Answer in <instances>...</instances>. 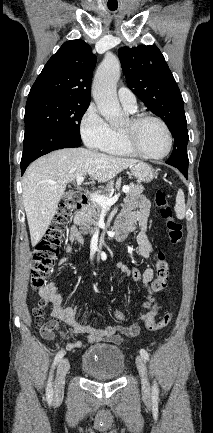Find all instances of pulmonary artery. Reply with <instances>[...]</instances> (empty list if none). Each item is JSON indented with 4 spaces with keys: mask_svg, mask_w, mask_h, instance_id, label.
Returning a JSON list of instances; mask_svg holds the SVG:
<instances>
[{
    "mask_svg": "<svg viewBox=\"0 0 213 433\" xmlns=\"http://www.w3.org/2000/svg\"><path fill=\"white\" fill-rule=\"evenodd\" d=\"M118 98L121 104L129 110H136L137 102L134 93L127 87H120L118 89Z\"/></svg>",
    "mask_w": 213,
    "mask_h": 433,
    "instance_id": "pulmonary-artery-1",
    "label": "pulmonary artery"
}]
</instances>
